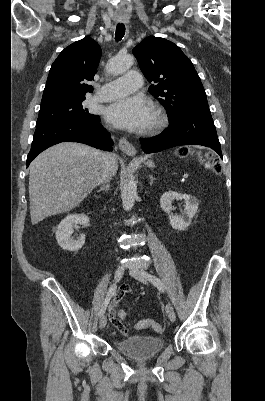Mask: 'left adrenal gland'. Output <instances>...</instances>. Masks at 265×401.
Listing matches in <instances>:
<instances>
[{"mask_svg": "<svg viewBox=\"0 0 265 401\" xmlns=\"http://www.w3.org/2000/svg\"><path fill=\"white\" fill-rule=\"evenodd\" d=\"M148 176H149V178H150L149 184H150V186H151V184H153L155 178H153L152 174H148Z\"/></svg>", "mask_w": 265, "mask_h": 401, "instance_id": "a2214340", "label": "left adrenal gland"}]
</instances>
